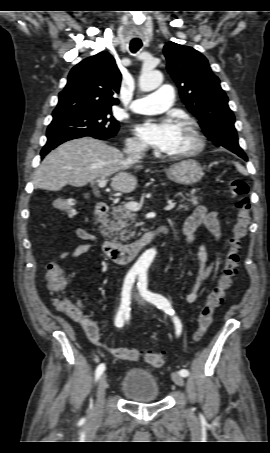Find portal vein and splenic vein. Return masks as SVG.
I'll use <instances>...</instances> for the list:
<instances>
[{"instance_id":"obj_1","label":"portal vein and splenic vein","mask_w":270,"mask_h":453,"mask_svg":"<svg viewBox=\"0 0 270 453\" xmlns=\"http://www.w3.org/2000/svg\"><path fill=\"white\" fill-rule=\"evenodd\" d=\"M107 184V179L102 178L98 180V186L100 188L105 187ZM175 202L169 201V204L165 207V210H171L175 207ZM126 208L130 211H139L141 209V205L137 202H129L126 204Z\"/></svg>"}]
</instances>
